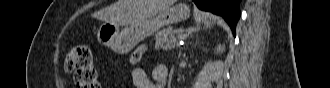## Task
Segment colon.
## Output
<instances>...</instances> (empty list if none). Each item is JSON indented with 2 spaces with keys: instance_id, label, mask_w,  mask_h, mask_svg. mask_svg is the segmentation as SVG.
<instances>
[{
  "instance_id": "colon-1",
  "label": "colon",
  "mask_w": 330,
  "mask_h": 88,
  "mask_svg": "<svg viewBox=\"0 0 330 88\" xmlns=\"http://www.w3.org/2000/svg\"><path fill=\"white\" fill-rule=\"evenodd\" d=\"M144 47H140L133 55L132 62L140 60ZM64 69L73 73L75 82L81 88H99L98 70L95 66L91 49L86 45L73 47L64 58Z\"/></svg>"
}]
</instances>
